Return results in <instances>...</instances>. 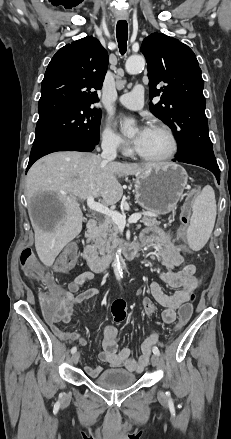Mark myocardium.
<instances>
[{
	"label": "myocardium",
	"mask_w": 231,
	"mask_h": 439,
	"mask_svg": "<svg viewBox=\"0 0 231 439\" xmlns=\"http://www.w3.org/2000/svg\"><path fill=\"white\" fill-rule=\"evenodd\" d=\"M151 128L159 129L167 135L169 142H170L169 150L165 154L160 155V156H147V155H144L136 150L135 151L136 155L139 158H141L145 161H149V162H163V161H167V160L173 158L178 151L179 144H178L177 137L174 134V132L172 131V129L170 127H168L167 125L162 124V123H154L151 125Z\"/></svg>",
	"instance_id": "f54148a6"
}]
</instances>
